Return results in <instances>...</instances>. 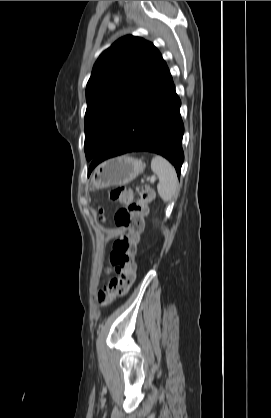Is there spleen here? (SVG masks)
I'll return each instance as SVG.
<instances>
[{
    "mask_svg": "<svg viewBox=\"0 0 271 418\" xmlns=\"http://www.w3.org/2000/svg\"><path fill=\"white\" fill-rule=\"evenodd\" d=\"M151 169L159 179L158 194L165 202L171 201L178 188V178L174 167L165 158L155 156L151 161Z\"/></svg>",
    "mask_w": 271,
    "mask_h": 418,
    "instance_id": "obj_1",
    "label": "spleen"
}]
</instances>
